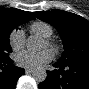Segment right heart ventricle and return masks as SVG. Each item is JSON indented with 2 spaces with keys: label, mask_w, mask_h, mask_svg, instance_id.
Returning <instances> with one entry per match:
<instances>
[{
  "label": "right heart ventricle",
  "mask_w": 89,
  "mask_h": 89,
  "mask_svg": "<svg viewBox=\"0 0 89 89\" xmlns=\"http://www.w3.org/2000/svg\"><path fill=\"white\" fill-rule=\"evenodd\" d=\"M31 31L43 38H50L53 35L52 27L45 22H35L31 25Z\"/></svg>",
  "instance_id": "e07e8e85"
}]
</instances>
